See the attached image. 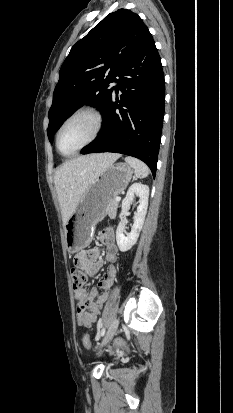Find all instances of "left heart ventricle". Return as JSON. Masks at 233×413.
I'll list each match as a JSON object with an SVG mask.
<instances>
[{
	"label": "left heart ventricle",
	"mask_w": 233,
	"mask_h": 413,
	"mask_svg": "<svg viewBox=\"0 0 233 413\" xmlns=\"http://www.w3.org/2000/svg\"><path fill=\"white\" fill-rule=\"evenodd\" d=\"M94 127V120L89 115H80L71 120L60 134L61 152L69 154L84 144L92 135Z\"/></svg>",
	"instance_id": "1"
}]
</instances>
